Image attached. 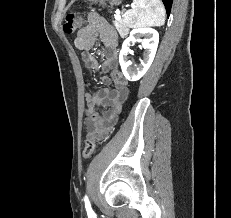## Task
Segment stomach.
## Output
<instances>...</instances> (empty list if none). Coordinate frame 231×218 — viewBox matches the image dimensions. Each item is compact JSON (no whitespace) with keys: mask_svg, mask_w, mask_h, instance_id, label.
<instances>
[{"mask_svg":"<svg viewBox=\"0 0 231 218\" xmlns=\"http://www.w3.org/2000/svg\"><path fill=\"white\" fill-rule=\"evenodd\" d=\"M111 3H112V4H120V3H121V0H111Z\"/></svg>","mask_w":231,"mask_h":218,"instance_id":"1","label":"stomach"}]
</instances>
